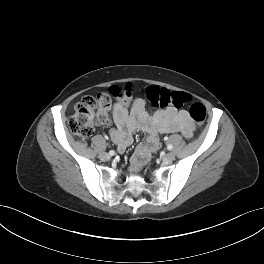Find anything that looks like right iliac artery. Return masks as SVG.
Segmentation results:
<instances>
[{
	"label": "right iliac artery",
	"mask_w": 264,
	"mask_h": 264,
	"mask_svg": "<svg viewBox=\"0 0 264 264\" xmlns=\"http://www.w3.org/2000/svg\"><path fill=\"white\" fill-rule=\"evenodd\" d=\"M115 154L114 150L109 151V155L113 156Z\"/></svg>",
	"instance_id": "82829eb1"
}]
</instances>
